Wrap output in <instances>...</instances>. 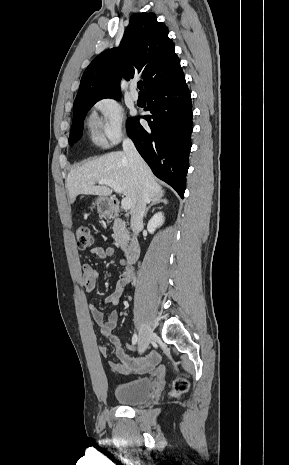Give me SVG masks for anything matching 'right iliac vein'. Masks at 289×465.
I'll list each match as a JSON object with an SVG mask.
<instances>
[{
    "label": "right iliac vein",
    "mask_w": 289,
    "mask_h": 465,
    "mask_svg": "<svg viewBox=\"0 0 289 465\" xmlns=\"http://www.w3.org/2000/svg\"><path fill=\"white\" fill-rule=\"evenodd\" d=\"M153 337V331L148 324H142L139 332V352H144Z\"/></svg>",
    "instance_id": "obj_1"
}]
</instances>
